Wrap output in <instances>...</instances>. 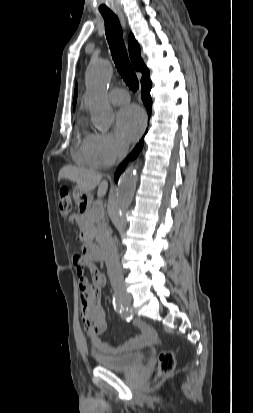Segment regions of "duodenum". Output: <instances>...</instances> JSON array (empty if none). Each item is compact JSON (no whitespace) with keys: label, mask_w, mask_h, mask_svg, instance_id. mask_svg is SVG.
Instances as JSON below:
<instances>
[{"label":"duodenum","mask_w":253,"mask_h":413,"mask_svg":"<svg viewBox=\"0 0 253 413\" xmlns=\"http://www.w3.org/2000/svg\"><path fill=\"white\" fill-rule=\"evenodd\" d=\"M80 240H83V234H80ZM84 253L85 255L93 261H103L104 254L99 247L90 245L85 243L84 244Z\"/></svg>","instance_id":"1"}]
</instances>
